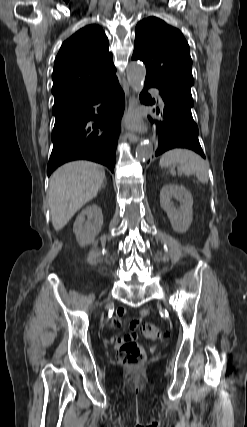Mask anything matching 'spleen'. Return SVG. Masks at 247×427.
<instances>
[{
	"label": "spleen",
	"instance_id": "obj_1",
	"mask_svg": "<svg viewBox=\"0 0 247 427\" xmlns=\"http://www.w3.org/2000/svg\"><path fill=\"white\" fill-rule=\"evenodd\" d=\"M159 164L161 167L180 164L185 175L195 174L201 183L208 182V164L191 150L179 148L169 150L162 155ZM171 173L175 174V171L171 169Z\"/></svg>",
	"mask_w": 247,
	"mask_h": 427
}]
</instances>
